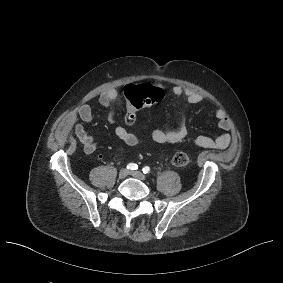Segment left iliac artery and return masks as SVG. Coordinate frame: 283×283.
<instances>
[{
  "instance_id": "1",
  "label": "left iliac artery",
  "mask_w": 283,
  "mask_h": 283,
  "mask_svg": "<svg viewBox=\"0 0 283 283\" xmlns=\"http://www.w3.org/2000/svg\"><path fill=\"white\" fill-rule=\"evenodd\" d=\"M143 173L144 174H147L150 172V168L148 166H145L143 169H142Z\"/></svg>"
}]
</instances>
